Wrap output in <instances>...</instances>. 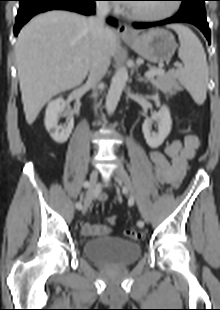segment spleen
I'll return each mask as SVG.
<instances>
[{
  "label": "spleen",
  "mask_w": 220,
  "mask_h": 310,
  "mask_svg": "<svg viewBox=\"0 0 220 310\" xmlns=\"http://www.w3.org/2000/svg\"><path fill=\"white\" fill-rule=\"evenodd\" d=\"M169 27L178 34L180 42L178 56L184 65L176 70V77L194 101L202 105L206 99L209 75L204 48L188 27L182 24H173Z\"/></svg>",
  "instance_id": "3e777b00"
}]
</instances>
